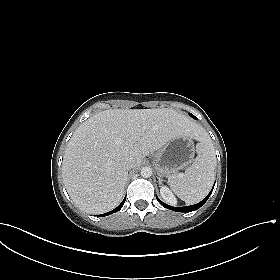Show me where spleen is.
Masks as SVG:
<instances>
[{"label":"spleen","instance_id":"1","mask_svg":"<svg viewBox=\"0 0 280 280\" xmlns=\"http://www.w3.org/2000/svg\"><path fill=\"white\" fill-rule=\"evenodd\" d=\"M197 156L184 173L169 176L168 184L186 204H195L209 193L214 179L216 160L210 144L202 140L196 145Z\"/></svg>","mask_w":280,"mask_h":280}]
</instances>
